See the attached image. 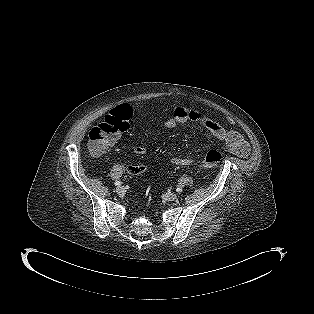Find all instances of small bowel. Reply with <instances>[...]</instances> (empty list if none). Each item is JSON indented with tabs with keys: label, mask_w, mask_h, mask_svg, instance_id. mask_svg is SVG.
<instances>
[{
	"label": "small bowel",
	"mask_w": 314,
	"mask_h": 314,
	"mask_svg": "<svg viewBox=\"0 0 314 314\" xmlns=\"http://www.w3.org/2000/svg\"><path fill=\"white\" fill-rule=\"evenodd\" d=\"M170 119L166 120L163 124L165 129H173L178 123H185L188 121L198 122L203 125L208 132L218 141L223 143L230 152L237 154L241 157H247L250 152V147L243 136L234 129L225 128L217 120L208 117L202 112L192 110L182 104H177L170 110ZM120 136L109 145L113 146L117 143ZM135 154L143 155L147 152V148L143 145H137L133 148ZM174 165L186 166L192 161L188 158L176 157L171 160ZM145 171L142 165H131L128 167L130 174H140Z\"/></svg>",
	"instance_id": "obj_1"
}]
</instances>
